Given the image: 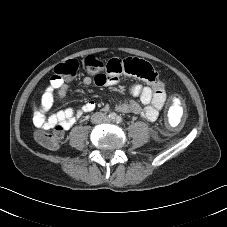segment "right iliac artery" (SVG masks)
<instances>
[{"label":"right iliac artery","mask_w":227,"mask_h":227,"mask_svg":"<svg viewBox=\"0 0 227 227\" xmlns=\"http://www.w3.org/2000/svg\"><path fill=\"white\" fill-rule=\"evenodd\" d=\"M109 118L112 119V120H115L116 119V114L114 112L110 113L109 114Z\"/></svg>","instance_id":"right-iliac-artery-1"}]
</instances>
